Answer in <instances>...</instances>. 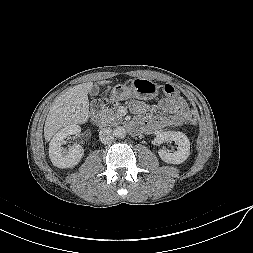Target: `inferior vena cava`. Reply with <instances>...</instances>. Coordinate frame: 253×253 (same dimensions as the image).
<instances>
[{"label": "inferior vena cava", "mask_w": 253, "mask_h": 253, "mask_svg": "<svg viewBox=\"0 0 253 253\" xmlns=\"http://www.w3.org/2000/svg\"><path fill=\"white\" fill-rule=\"evenodd\" d=\"M99 139L102 143L108 144L114 140V134L109 127L102 128L99 132Z\"/></svg>", "instance_id": "inferior-vena-cava-1"}]
</instances>
